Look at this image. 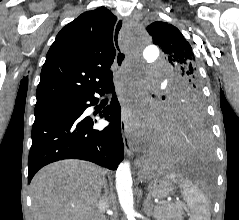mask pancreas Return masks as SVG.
Segmentation results:
<instances>
[{
	"label": "pancreas",
	"instance_id": "cf45deb5",
	"mask_svg": "<svg viewBox=\"0 0 239 220\" xmlns=\"http://www.w3.org/2000/svg\"><path fill=\"white\" fill-rule=\"evenodd\" d=\"M182 207L162 204L154 207L153 217L156 220H182Z\"/></svg>",
	"mask_w": 239,
	"mask_h": 220
}]
</instances>
